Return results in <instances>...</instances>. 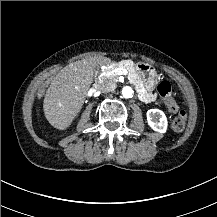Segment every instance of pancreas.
Returning <instances> with one entry per match:
<instances>
[{"label":"pancreas","instance_id":"cf45deb5","mask_svg":"<svg viewBox=\"0 0 217 217\" xmlns=\"http://www.w3.org/2000/svg\"><path fill=\"white\" fill-rule=\"evenodd\" d=\"M119 67H123L125 69L128 70L129 72V76H128V80L130 83H133L137 89H140L141 86L143 85V82L140 78V75L138 74V72L136 71L135 67L132 66V62H121L119 64H116L115 67H112L109 69V72H112L113 70L119 68ZM112 80H115V77L111 78Z\"/></svg>","mask_w":217,"mask_h":217}]
</instances>
